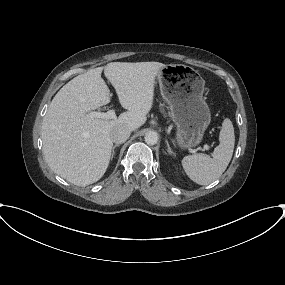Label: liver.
Segmentation results:
<instances>
[{
  "instance_id": "6515ba94",
  "label": "liver",
  "mask_w": 285,
  "mask_h": 285,
  "mask_svg": "<svg viewBox=\"0 0 285 285\" xmlns=\"http://www.w3.org/2000/svg\"><path fill=\"white\" fill-rule=\"evenodd\" d=\"M164 66L159 62H111L65 84L42 122L43 152L50 168L77 186L97 182L109 165L112 129L135 131L146 122L155 79ZM103 70L127 110L114 120L88 117L92 110L110 102V91L101 77Z\"/></svg>"
}]
</instances>
